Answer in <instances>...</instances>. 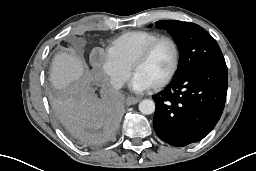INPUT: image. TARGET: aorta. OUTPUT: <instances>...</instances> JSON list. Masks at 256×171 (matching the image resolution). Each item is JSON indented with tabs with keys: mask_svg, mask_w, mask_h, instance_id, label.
I'll return each mask as SVG.
<instances>
[{
	"mask_svg": "<svg viewBox=\"0 0 256 171\" xmlns=\"http://www.w3.org/2000/svg\"><path fill=\"white\" fill-rule=\"evenodd\" d=\"M139 111L142 114L150 115L155 111V103L151 99H144L139 103Z\"/></svg>",
	"mask_w": 256,
	"mask_h": 171,
	"instance_id": "762f6f07",
	"label": "aorta"
}]
</instances>
